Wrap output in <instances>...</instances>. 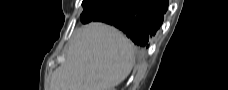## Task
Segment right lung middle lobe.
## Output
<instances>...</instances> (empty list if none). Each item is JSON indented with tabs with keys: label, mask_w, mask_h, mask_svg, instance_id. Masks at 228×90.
Masks as SVG:
<instances>
[{
	"label": "right lung middle lobe",
	"mask_w": 228,
	"mask_h": 90,
	"mask_svg": "<svg viewBox=\"0 0 228 90\" xmlns=\"http://www.w3.org/2000/svg\"><path fill=\"white\" fill-rule=\"evenodd\" d=\"M97 3L98 2V0H83V2H82V6L85 8V7H87L89 4H92V3Z\"/></svg>",
	"instance_id": "obj_1"
}]
</instances>
